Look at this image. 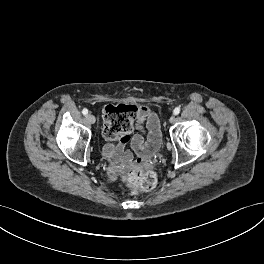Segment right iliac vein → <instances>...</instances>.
I'll list each match as a JSON object with an SVG mask.
<instances>
[{"label":"right iliac vein","instance_id":"1","mask_svg":"<svg viewBox=\"0 0 264 264\" xmlns=\"http://www.w3.org/2000/svg\"><path fill=\"white\" fill-rule=\"evenodd\" d=\"M86 119H87V121H88L89 123H91V124H94L95 121H96L95 116L92 115V114H88V115L86 116Z\"/></svg>","mask_w":264,"mask_h":264}]
</instances>
